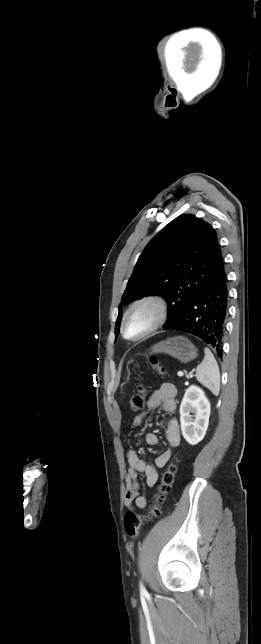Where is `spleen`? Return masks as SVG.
Wrapping results in <instances>:
<instances>
[{
  "mask_svg": "<svg viewBox=\"0 0 261 644\" xmlns=\"http://www.w3.org/2000/svg\"><path fill=\"white\" fill-rule=\"evenodd\" d=\"M204 353L205 357L196 369V378L203 386L217 396L220 391L219 367L212 352L208 348L204 349Z\"/></svg>",
  "mask_w": 261,
  "mask_h": 644,
  "instance_id": "3e777b00",
  "label": "spleen"
}]
</instances>
